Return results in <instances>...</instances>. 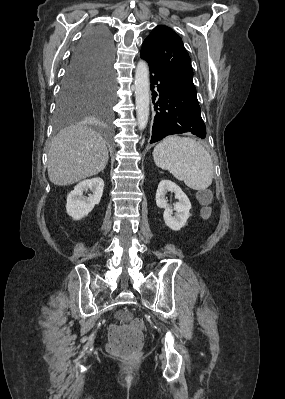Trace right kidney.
Listing matches in <instances>:
<instances>
[{
    "label": "right kidney",
    "mask_w": 285,
    "mask_h": 399,
    "mask_svg": "<svg viewBox=\"0 0 285 399\" xmlns=\"http://www.w3.org/2000/svg\"><path fill=\"white\" fill-rule=\"evenodd\" d=\"M104 189V181L100 177L78 183L67 196L66 211L74 220L88 215L95 205L100 203ZM91 190L92 194L84 198L83 192Z\"/></svg>",
    "instance_id": "obj_1"
}]
</instances>
